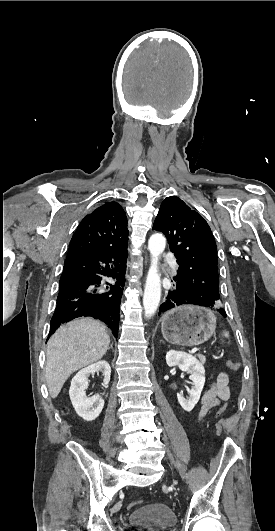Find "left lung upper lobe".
Here are the masks:
<instances>
[{
	"label": "left lung upper lobe",
	"mask_w": 275,
	"mask_h": 531,
	"mask_svg": "<svg viewBox=\"0 0 275 531\" xmlns=\"http://www.w3.org/2000/svg\"><path fill=\"white\" fill-rule=\"evenodd\" d=\"M153 229L161 231L179 268L172 291L190 303L213 307L219 299L217 248L205 219L177 196L161 204Z\"/></svg>",
	"instance_id": "left-lung-upper-lobe-1"
}]
</instances>
